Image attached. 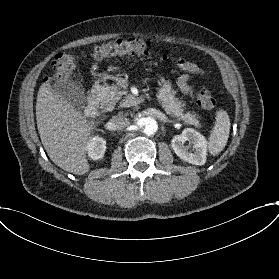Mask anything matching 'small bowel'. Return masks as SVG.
<instances>
[{
    "label": "small bowel",
    "instance_id": "c3829d8e",
    "mask_svg": "<svg viewBox=\"0 0 279 279\" xmlns=\"http://www.w3.org/2000/svg\"><path fill=\"white\" fill-rule=\"evenodd\" d=\"M177 67L183 71V74L180 76L178 80V86L184 93H191V87L189 85V81L192 76L194 75H202L203 70L196 65L195 63H192L190 61H187L185 59H178Z\"/></svg>",
    "mask_w": 279,
    "mask_h": 279
}]
</instances>
